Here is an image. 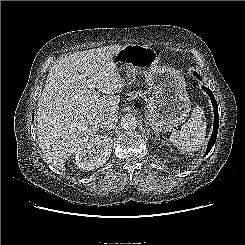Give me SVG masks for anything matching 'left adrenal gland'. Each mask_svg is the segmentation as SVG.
I'll return each instance as SVG.
<instances>
[{"instance_id":"obj_1","label":"left adrenal gland","mask_w":245,"mask_h":245,"mask_svg":"<svg viewBox=\"0 0 245 245\" xmlns=\"http://www.w3.org/2000/svg\"><path fill=\"white\" fill-rule=\"evenodd\" d=\"M146 127H147V132H150V128H149V124H148V122H147Z\"/></svg>"}]
</instances>
